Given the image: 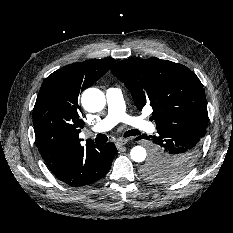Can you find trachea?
<instances>
[{
  "label": "trachea",
  "instance_id": "trachea-1",
  "mask_svg": "<svg viewBox=\"0 0 233 233\" xmlns=\"http://www.w3.org/2000/svg\"><path fill=\"white\" fill-rule=\"evenodd\" d=\"M140 135V132L136 129L129 130L124 133V137H129V136H137ZM108 140V137L105 134H97L95 141L97 143H104Z\"/></svg>",
  "mask_w": 233,
  "mask_h": 233
}]
</instances>
